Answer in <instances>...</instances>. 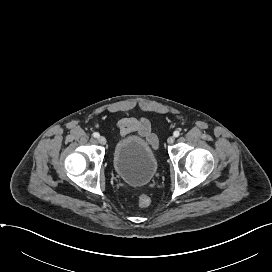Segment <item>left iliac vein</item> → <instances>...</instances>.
Returning <instances> with one entry per match:
<instances>
[{"mask_svg": "<svg viewBox=\"0 0 272 272\" xmlns=\"http://www.w3.org/2000/svg\"><path fill=\"white\" fill-rule=\"evenodd\" d=\"M174 141H175L174 136H170V137L167 139L168 144H172V143H174Z\"/></svg>", "mask_w": 272, "mask_h": 272, "instance_id": "1", "label": "left iliac vein"}]
</instances>
